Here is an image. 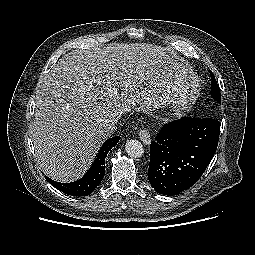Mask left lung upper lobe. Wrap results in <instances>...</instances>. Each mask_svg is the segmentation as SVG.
Here are the masks:
<instances>
[{
  "instance_id": "1",
  "label": "left lung upper lobe",
  "mask_w": 255,
  "mask_h": 255,
  "mask_svg": "<svg viewBox=\"0 0 255 255\" xmlns=\"http://www.w3.org/2000/svg\"><path fill=\"white\" fill-rule=\"evenodd\" d=\"M211 79H212V87H211L212 98L218 103H221L220 88L212 72H211Z\"/></svg>"
}]
</instances>
